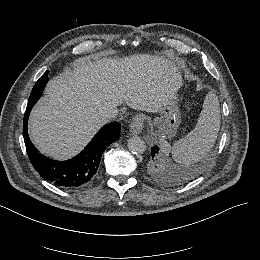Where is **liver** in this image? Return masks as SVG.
Instances as JSON below:
<instances>
[{
    "label": "liver",
    "instance_id": "1",
    "mask_svg": "<svg viewBox=\"0 0 260 260\" xmlns=\"http://www.w3.org/2000/svg\"><path fill=\"white\" fill-rule=\"evenodd\" d=\"M183 78L169 62L146 55L79 59L73 71L51 80L31 113L29 133L34 144L58 159L70 158L111 118L117 100L134 110L159 113L176 98Z\"/></svg>",
    "mask_w": 260,
    "mask_h": 260
}]
</instances>
